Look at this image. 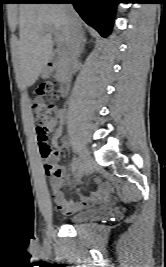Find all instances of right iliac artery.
I'll return each instance as SVG.
<instances>
[{"mask_svg": "<svg viewBox=\"0 0 166 267\" xmlns=\"http://www.w3.org/2000/svg\"><path fill=\"white\" fill-rule=\"evenodd\" d=\"M80 169V159L74 157L72 159V171L76 173Z\"/></svg>", "mask_w": 166, "mask_h": 267, "instance_id": "obj_1", "label": "right iliac artery"}]
</instances>
